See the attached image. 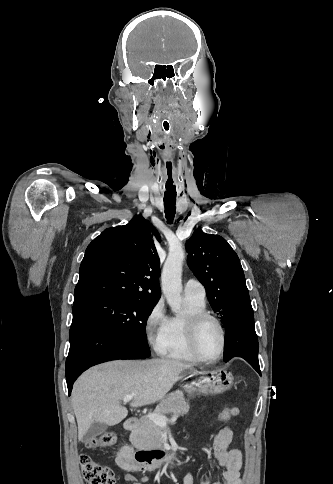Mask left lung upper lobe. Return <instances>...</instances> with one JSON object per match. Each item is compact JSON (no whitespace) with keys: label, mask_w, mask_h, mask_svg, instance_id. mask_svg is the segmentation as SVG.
<instances>
[{"label":"left lung upper lobe","mask_w":333,"mask_h":484,"mask_svg":"<svg viewBox=\"0 0 333 484\" xmlns=\"http://www.w3.org/2000/svg\"><path fill=\"white\" fill-rule=\"evenodd\" d=\"M186 249L188 265L225 328L238 309L251 303L240 260L224 238L201 230L193 233Z\"/></svg>","instance_id":"obj_1"}]
</instances>
